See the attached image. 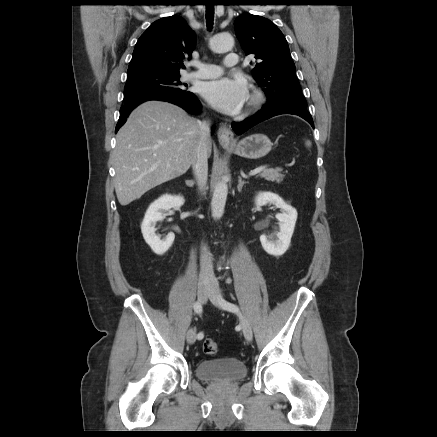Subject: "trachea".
<instances>
[{"label":"trachea","instance_id":"1","mask_svg":"<svg viewBox=\"0 0 437 437\" xmlns=\"http://www.w3.org/2000/svg\"><path fill=\"white\" fill-rule=\"evenodd\" d=\"M213 21H214V6H206V25L207 28L210 30L213 27Z\"/></svg>","mask_w":437,"mask_h":437}]
</instances>
